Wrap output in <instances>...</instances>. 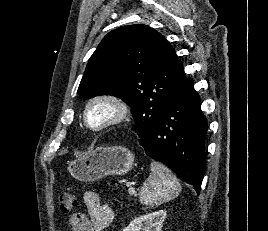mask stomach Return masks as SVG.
<instances>
[{
    "label": "stomach",
    "instance_id": "stomach-1",
    "mask_svg": "<svg viewBox=\"0 0 268 231\" xmlns=\"http://www.w3.org/2000/svg\"><path fill=\"white\" fill-rule=\"evenodd\" d=\"M133 166L134 155L122 146L97 147L89 154L68 162L70 174L83 182H93L108 175H124Z\"/></svg>",
    "mask_w": 268,
    "mask_h": 231
}]
</instances>
